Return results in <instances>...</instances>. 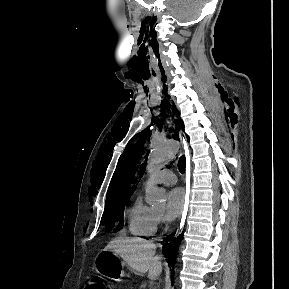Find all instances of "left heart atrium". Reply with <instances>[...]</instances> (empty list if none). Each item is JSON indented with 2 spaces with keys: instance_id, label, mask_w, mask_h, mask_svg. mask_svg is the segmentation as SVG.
Instances as JSON below:
<instances>
[{
  "instance_id": "left-heart-atrium-1",
  "label": "left heart atrium",
  "mask_w": 289,
  "mask_h": 289,
  "mask_svg": "<svg viewBox=\"0 0 289 289\" xmlns=\"http://www.w3.org/2000/svg\"><path fill=\"white\" fill-rule=\"evenodd\" d=\"M186 205V193L182 188H173L167 195V203L164 218L173 221L184 211Z\"/></svg>"
}]
</instances>
